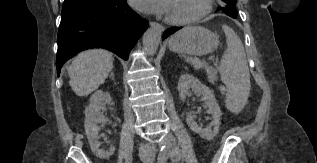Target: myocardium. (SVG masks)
I'll use <instances>...</instances> for the list:
<instances>
[{"label": "myocardium", "instance_id": "1", "mask_svg": "<svg viewBox=\"0 0 317 163\" xmlns=\"http://www.w3.org/2000/svg\"><path fill=\"white\" fill-rule=\"evenodd\" d=\"M212 7H213V0H202L201 8L196 14L187 18H182V19L172 18L168 16L167 21L170 24L175 26L190 25L206 17L211 12Z\"/></svg>", "mask_w": 317, "mask_h": 163}]
</instances>
